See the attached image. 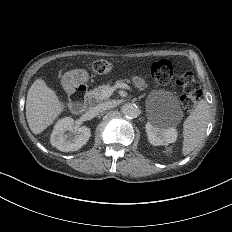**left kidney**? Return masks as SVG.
I'll use <instances>...</instances> for the list:
<instances>
[{"label": "left kidney", "mask_w": 232, "mask_h": 232, "mask_svg": "<svg viewBox=\"0 0 232 232\" xmlns=\"http://www.w3.org/2000/svg\"><path fill=\"white\" fill-rule=\"evenodd\" d=\"M146 132L150 143L155 146L169 145L176 140V130L159 119L148 122Z\"/></svg>", "instance_id": "left-kidney-1"}]
</instances>
